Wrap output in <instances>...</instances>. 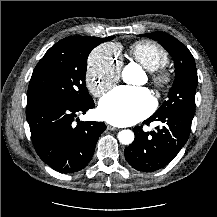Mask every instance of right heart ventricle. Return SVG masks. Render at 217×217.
<instances>
[{
    "mask_svg": "<svg viewBox=\"0 0 217 217\" xmlns=\"http://www.w3.org/2000/svg\"><path fill=\"white\" fill-rule=\"evenodd\" d=\"M129 56L149 71L164 67L168 62V54L163 47L148 40L137 41L128 49Z\"/></svg>",
    "mask_w": 217,
    "mask_h": 217,
    "instance_id": "obj_1",
    "label": "right heart ventricle"
}]
</instances>
